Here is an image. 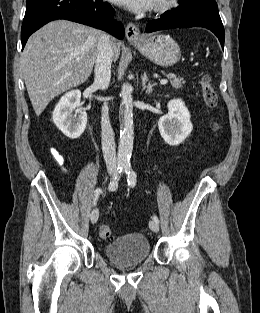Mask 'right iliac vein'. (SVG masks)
<instances>
[{
  "label": "right iliac vein",
  "instance_id": "right-iliac-vein-1",
  "mask_svg": "<svg viewBox=\"0 0 260 313\" xmlns=\"http://www.w3.org/2000/svg\"><path fill=\"white\" fill-rule=\"evenodd\" d=\"M114 173V169L113 168H109L108 169V174L111 176ZM99 217V210L98 208H94L90 214V219L92 223H96Z\"/></svg>",
  "mask_w": 260,
  "mask_h": 313
}]
</instances>
